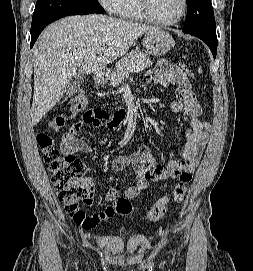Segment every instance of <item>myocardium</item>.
<instances>
[{
  "label": "myocardium",
  "mask_w": 253,
  "mask_h": 271,
  "mask_svg": "<svg viewBox=\"0 0 253 271\" xmlns=\"http://www.w3.org/2000/svg\"><path fill=\"white\" fill-rule=\"evenodd\" d=\"M138 3L140 11L144 18L152 23L161 26H172L179 23L186 16L188 11V0H182V10L177 17L171 20H161L152 14L149 6V0H138Z\"/></svg>",
  "instance_id": "obj_1"
}]
</instances>
